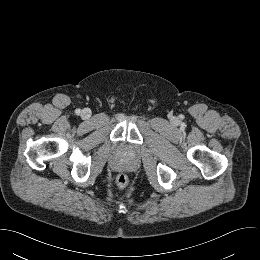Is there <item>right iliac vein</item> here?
Segmentation results:
<instances>
[{
	"label": "right iliac vein",
	"mask_w": 260,
	"mask_h": 260,
	"mask_svg": "<svg viewBox=\"0 0 260 260\" xmlns=\"http://www.w3.org/2000/svg\"><path fill=\"white\" fill-rule=\"evenodd\" d=\"M91 116V111L89 109H83L81 112V117L83 119H88Z\"/></svg>",
	"instance_id": "obj_1"
}]
</instances>
